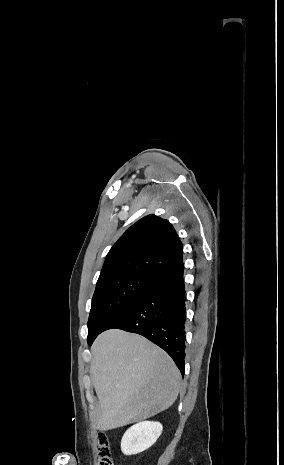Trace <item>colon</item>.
I'll return each instance as SVG.
<instances>
[{
	"instance_id": "colon-1",
	"label": "colon",
	"mask_w": 284,
	"mask_h": 465,
	"mask_svg": "<svg viewBox=\"0 0 284 465\" xmlns=\"http://www.w3.org/2000/svg\"><path fill=\"white\" fill-rule=\"evenodd\" d=\"M98 443H99V446H98L99 461L97 464L98 465H113V461L111 460L109 456V452L106 448L109 444L108 437L99 434Z\"/></svg>"
}]
</instances>
